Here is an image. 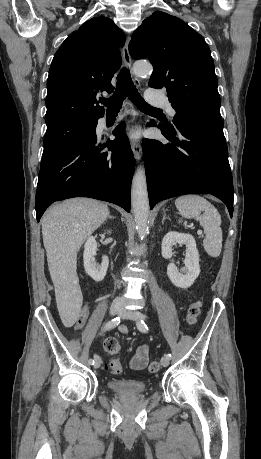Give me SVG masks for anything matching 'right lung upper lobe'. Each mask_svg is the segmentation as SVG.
Segmentation results:
<instances>
[{
  "label": "right lung upper lobe",
  "mask_w": 261,
  "mask_h": 459,
  "mask_svg": "<svg viewBox=\"0 0 261 459\" xmlns=\"http://www.w3.org/2000/svg\"><path fill=\"white\" fill-rule=\"evenodd\" d=\"M124 33L106 17L92 18L73 32L56 52L47 80L48 126L65 120H98L101 92L111 93V79L121 65L118 47Z\"/></svg>",
  "instance_id": "1"
}]
</instances>
